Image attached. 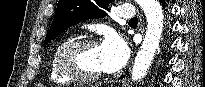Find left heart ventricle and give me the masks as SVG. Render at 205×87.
Returning a JSON list of instances; mask_svg holds the SVG:
<instances>
[{"label": "left heart ventricle", "mask_w": 205, "mask_h": 87, "mask_svg": "<svg viewBox=\"0 0 205 87\" xmlns=\"http://www.w3.org/2000/svg\"><path fill=\"white\" fill-rule=\"evenodd\" d=\"M69 60L78 72L84 75H94L103 69L97 46H83L75 50Z\"/></svg>", "instance_id": "obj_1"}]
</instances>
